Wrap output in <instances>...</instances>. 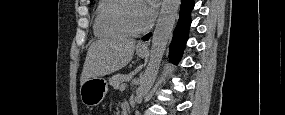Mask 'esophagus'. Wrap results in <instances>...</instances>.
I'll return each mask as SVG.
<instances>
[{
	"label": "esophagus",
	"instance_id": "1",
	"mask_svg": "<svg viewBox=\"0 0 285 115\" xmlns=\"http://www.w3.org/2000/svg\"><path fill=\"white\" fill-rule=\"evenodd\" d=\"M138 47H140V48H146L147 46H146L145 43H139V44H138Z\"/></svg>",
	"mask_w": 285,
	"mask_h": 115
}]
</instances>
